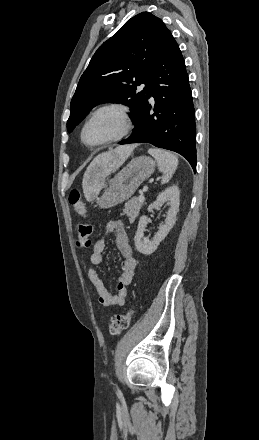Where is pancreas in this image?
<instances>
[{"instance_id": "obj_1", "label": "pancreas", "mask_w": 259, "mask_h": 440, "mask_svg": "<svg viewBox=\"0 0 259 440\" xmlns=\"http://www.w3.org/2000/svg\"><path fill=\"white\" fill-rule=\"evenodd\" d=\"M142 205L143 202L139 201L137 197H134L125 203V208L123 211L130 220H133L138 215Z\"/></svg>"}]
</instances>
